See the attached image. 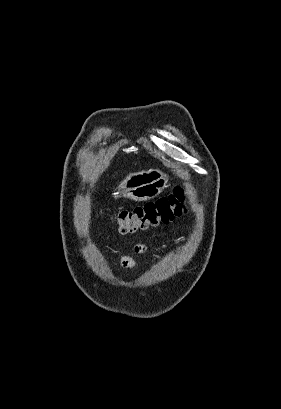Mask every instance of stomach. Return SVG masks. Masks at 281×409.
<instances>
[{"instance_id": "0dacf381", "label": "stomach", "mask_w": 281, "mask_h": 409, "mask_svg": "<svg viewBox=\"0 0 281 409\" xmlns=\"http://www.w3.org/2000/svg\"><path fill=\"white\" fill-rule=\"evenodd\" d=\"M168 180L167 174L158 168H149V170L130 172L121 180L117 188L119 194L131 200H149L168 186Z\"/></svg>"}]
</instances>
